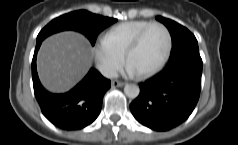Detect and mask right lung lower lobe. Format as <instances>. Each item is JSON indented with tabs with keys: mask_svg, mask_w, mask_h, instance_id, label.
Instances as JSON below:
<instances>
[{
	"mask_svg": "<svg viewBox=\"0 0 238 145\" xmlns=\"http://www.w3.org/2000/svg\"><path fill=\"white\" fill-rule=\"evenodd\" d=\"M42 41L36 43L32 60V79L36 99L44 116L64 130H79L91 124L99 115L103 96L110 88V80L91 69L86 77L65 94L46 91L38 78L36 57Z\"/></svg>",
	"mask_w": 238,
	"mask_h": 145,
	"instance_id": "obj_1",
	"label": "right lung lower lobe"
}]
</instances>
